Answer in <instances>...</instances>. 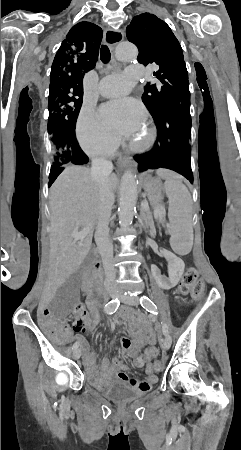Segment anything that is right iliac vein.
<instances>
[{"label":"right iliac vein","instance_id":"63e3f726","mask_svg":"<svg viewBox=\"0 0 241 450\" xmlns=\"http://www.w3.org/2000/svg\"><path fill=\"white\" fill-rule=\"evenodd\" d=\"M117 293H118V291H116V290H115V291H112L111 294H110V297L115 298V297L117 296ZM81 354H82L81 348L76 349V350L74 351V353H73V358H74L75 360H77V359L80 358Z\"/></svg>","mask_w":241,"mask_h":450}]
</instances>
